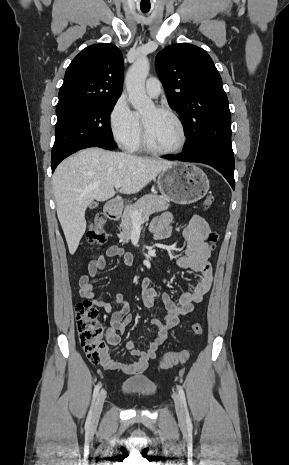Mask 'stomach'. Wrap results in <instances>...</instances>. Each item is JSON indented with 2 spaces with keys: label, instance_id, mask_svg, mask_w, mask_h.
<instances>
[{
  "label": "stomach",
  "instance_id": "1",
  "mask_svg": "<svg viewBox=\"0 0 289 465\" xmlns=\"http://www.w3.org/2000/svg\"><path fill=\"white\" fill-rule=\"evenodd\" d=\"M157 185L165 199L177 204L195 203L209 190L205 173L187 163H173L158 175Z\"/></svg>",
  "mask_w": 289,
  "mask_h": 465
}]
</instances>
